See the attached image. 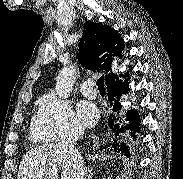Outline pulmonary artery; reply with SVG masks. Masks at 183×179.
<instances>
[{"label": "pulmonary artery", "mask_w": 183, "mask_h": 179, "mask_svg": "<svg viewBox=\"0 0 183 179\" xmlns=\"http://www.w3.org/2000/svg\"><path fill=\"white\" fill-rule=\"evenodd\" d=\"M94 81L90 78L84 80L81 84H80V90L82 92V94L86 97L89 98H94L96 96V90L94 88Z\"/></svg>", "instance_id": "obj_1"}]
</instances>
